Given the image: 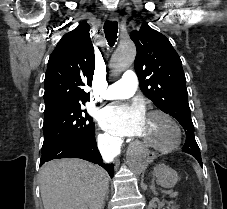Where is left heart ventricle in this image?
<instances>
[{
	"label": "left heart ventricle",
	"mask_w": 227,
	"mask_h": 209,
	"mask_svg": "<svg viewBox=\"0 0 227 209\" xmlns=\"http://www.w3.org/2000/svg\"><path fill=\"white\" fill-rule=\"evenodd\" d=\"M140 138L158 145H169L175 136L172 126L162 117L147 116L143 128L137 134Z\"/></svg>",
	"instance_id": "left-heart-ventricle-1"
}]
</instances>
